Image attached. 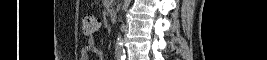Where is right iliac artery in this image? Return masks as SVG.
Segmentation results:
<instances>
[{
  "mask_svg": "<svg viewBox=\"0 0 267 60\" xmlns=\"http://www.w3.org/2000/svg\"><path fill=\"white\" fill-rule=\"evenodd\" d=\"M123 57H124V55H122V54H117L116 55L117 60H122Z\"/></svg>",
  "mask_w": 267,
  "mask_h": 60,
  "instance_id": "1",
  "label": "right iliac artery"
}]
</instances>
